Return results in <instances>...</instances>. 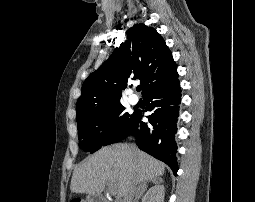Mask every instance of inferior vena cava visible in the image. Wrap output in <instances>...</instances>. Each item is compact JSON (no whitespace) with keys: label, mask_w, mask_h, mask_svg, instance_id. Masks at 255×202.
<instances>
[{"label":"inferior vena cava","mask_w":255,"mask_h":202,"mask_svg":"<svg viewBox=\"0 0 255 202\" xmlns=\"http://www.w3.org/2000/svg\"><path fill=\"white\" fill-rule=\"evenodd\" d=\"M134 147V146H133ZM145 182H135L132 184L124 195L123 202H134L133 198L145 190Z\"/></svg>","instance_id":"obj_1"}]
</instances>
